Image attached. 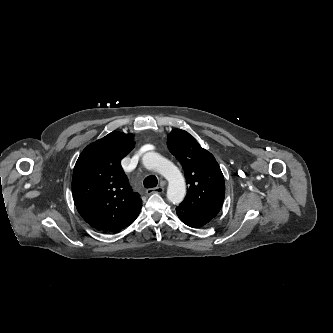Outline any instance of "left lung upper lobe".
I'll use <instances>...</instances> for the list:
<instances>
[{
    "mask_svg": "<svg viewBox=\"0 0 333 333\" xmlns=\"http://www.w3.org/2000/svg\"><path fill=\"white\" fill-rule=\"evenodd\" d=\"M167 146L181 163L188 184L187 196L178 208L214 218L225 196L224 177L214 156L181 129L170 132Z\"/></svg>",
    "mask_w": 333,
    "mask_h": 333,
    "instance_id": "1",
    "label": "left lung upper lobe"
}]
</instances>
